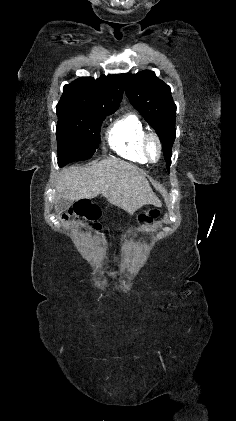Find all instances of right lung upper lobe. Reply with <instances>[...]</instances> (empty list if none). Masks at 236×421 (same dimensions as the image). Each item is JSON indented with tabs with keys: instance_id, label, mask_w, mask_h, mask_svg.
Segmentation results:
<instances>
[{
	"instance_id": "1",
	"label": "right lung upper lobe",
	"mask_w": 236,
	"mask_h": 421,
	"mask_svg": "<svg viewBox=\"0 0 236 421\" xmlns=\"http://www.w3.org/2000/svg\"><path fill=\"white\" fill-rule=\"evenodd\" d=\"M122 95L123 85L118 75H102L96 80L84 77L64 86L60 102L118 109Z\"/></svg>"
}]
</instances>
